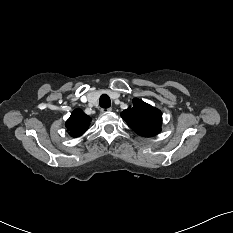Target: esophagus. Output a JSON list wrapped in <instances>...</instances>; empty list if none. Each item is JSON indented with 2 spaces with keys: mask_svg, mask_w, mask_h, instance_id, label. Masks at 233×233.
Instances as JSON below:
<instances>
[{
  "mask_svg": "<svg viewBox=\"0 0 233 233\" xmlns=\"http://www.w3.org/2000/svg\"><path fill=\"white\" fill-rule=\"evenodd\" d=\"M111 111H112V108H102L101 109L102 113H108V112H111Z\"/></svg>",
  "mask_w": 233,
  "mask_h": 233,
  "instance_id": "esophagus-1",
  "label": "esophagus"
}]
</instances>
